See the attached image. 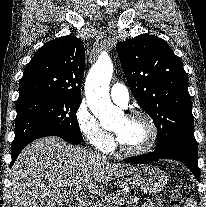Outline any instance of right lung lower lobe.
Segmentation results:
<instances>
[{
  "instance_id": "98d812e1",
  "label": "right lung lower lobe",
  "mask_w": 206,
  "mask_h": 207,
  "mask_svg": "<svg viewBox=\"0 0 206 207\" xmlns=\"http://www.w3.org/2000/svg\"><path fill=\"white\" fill-rule=\"evenodd\" d=\"M45 136H58L60 138H63L64 140H66L68 143L70 144H75L77 143L78 141H75V140H72V139H69L63 135H60V134H57V133H44V134H40V135H37L31 139H29L27 142L21 144L20 146L16 147V148H12V151H11V158H12V161L10 163V167H12V165L14 164L17 156L19 155V153L22 151V149L28 145L30 142L34 141L35 139H38V138H41V137H45Z\"/></svg>"
}]
</instances>
